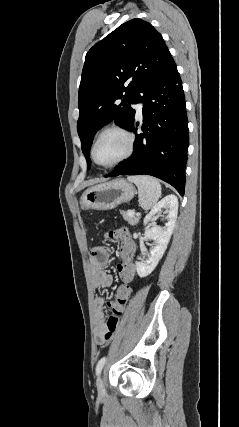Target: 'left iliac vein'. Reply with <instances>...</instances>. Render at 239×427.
<instances>
[{
	"mask_svg": "<svg viewBox=\"0 0 239 427\" xmlns=\"http://www.w3.org/2000/svg\"><path fill=\"white\" fill-rule=\"evenodd\" d=\"M96 386H97L99 395L103 396L105 394V388H104V383L101 376H98L96 380Z\"/></svg>",
	"mask_w": 239,
	"mask_h": 427,
	"instance_id": "obj_1",
	"label": "left iliac vein"
}]
</instances>
